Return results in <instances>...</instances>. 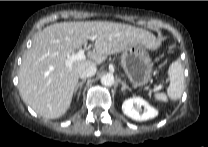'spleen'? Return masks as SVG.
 Listing matches in <instances>:
<instances>
[{
	"label": "spleen",
	"instance_id": "1",
	"mask_svg": "<svg viewBox=\"0 0 208 147\" xmlns=\"http://www.w3.org/2000/svg\"><path fill=\"white\" fill-rule=\"evenodd\" d=\"M168 76L170 80L167 88V95L164 93L155 94V99L161 102H167L168 97L172 100L179 99L184 91V73L182 65L179 61H174L168 69Z\"/></svg>",
	"mask_w": 208,
	"mask_h": 147
}]
</instances>
